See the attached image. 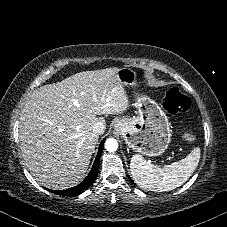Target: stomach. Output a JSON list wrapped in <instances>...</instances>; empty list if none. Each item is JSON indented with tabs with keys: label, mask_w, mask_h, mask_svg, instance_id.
Segmentation results:
<instances>
[{
	"label": "stomach",
	"mask_w": 227,
	"mask_h": 227,
	"mask_svg": "<svg viewBox=\"0 0 227 227\" xmlns=\"http://www.w3.org/2000/svg\"><path fill=\"white\" fill-rule=\"evenodd\" d=\"M118 77L124 86L136 87L138 74L131 67H123ZM135 106L137 116L117 120L115 131L125 140L129 148L146 156L161 155L171 141L170 123L162 108L147 96L138 95Z\"/></svg>",
	"instance_id": "1"
}]
</instances>
